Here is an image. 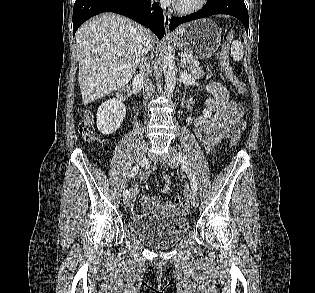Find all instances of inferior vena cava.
Here are the masks:
<instances>
[{
	"instance_id": "inferior-vena-cava-1",
	"label": "inferior vena cava",
	"mask_w": 315,
	"mask_h": 293,
	"mask_svg": "<svg viewBox=\"0 0 315 293\" xmlns=\"http://www.w3.org/2000/svg\"><path fill=\"white\" fill-rule=\"evenodd\" d=\"M146 32V42H145V47L143 49V53L147 54L148 51L152 50V39L151 36L149 34V32L147 30H145ZM153 57V55L151 54V58ZM143 62V59H142ZM149 69V64L146 62L144 63V65H140V69H139V74L137 75L138 79H143V77L145 76L146 71H148ZM153 92V86L152 84H146L145 85V89L143 90V94L144 97L147 98L149 97Z\"/></svg>"
}]
</instances>
